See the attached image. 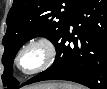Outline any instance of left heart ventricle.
I'll use <instances>...</instances> for the list:
<instances>
[{
	"label": "left heart ventricle",
	"instance_id": "b2bd125f",
	"mask_svg": "<svg viewBox=\"0 0 107 89\" xmlns=\"http://www.w3.org/2000/svg\"><path fill=\"white\" fill-rule=\"evenodd\" d=\"M44 58V52L40 47H31L21 58V67L24 70H31L41 64Z\"/></svg>",
	"mask_w": 107,
	"mask_h": 89
}]
</instances>
